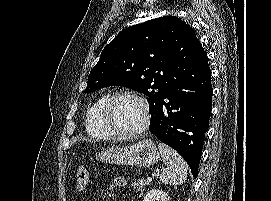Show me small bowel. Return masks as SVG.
<instances>
[{
	"label": "small bowel",
	"mask_w": 271,
	"mask_h": 201,
	"mask_svg": "<svg viewBox=\"0 0 271 201\" xmlns=\"http://www.w3.org/2000/svg\"><path fill=\"white\" fill-rule=\"evenodd\" d=\"M113 183L115 187L122 189L126 187L127 181L124 177H116L114 178Z\"/></svg>",
	"instance_id": "obj_1"
}]
</instances>
